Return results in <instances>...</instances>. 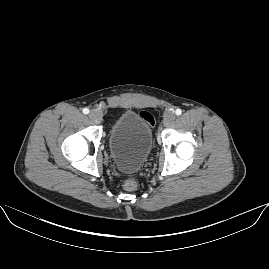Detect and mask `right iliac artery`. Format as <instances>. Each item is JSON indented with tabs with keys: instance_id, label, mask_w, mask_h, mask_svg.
<instances>
[{
	"instance_id": "right-iliac-artery-1",
	"label": "right iliac artery",
	"mask_w": 269,
	"mask_h": 269,
	"mask_svg": "<svg viewBox=\"0 0 269 269\" xmlns=\"http://www.w3.org/2000/svg\"><path fill=\"white\" fill-rule=\"evenodd\" d=\"M83 113H84V114H88V113H89V109H88V108H84V109H83Z\"/></svg>"
}]
</instances>
